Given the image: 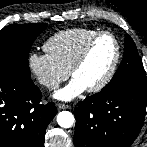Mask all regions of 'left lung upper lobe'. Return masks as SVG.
Segmentation results:
<instances>
[{"mask_svg":"<svg viewBox=\"0 0 147 147\" xmlns=\"http://www.w3.org/2000/svg\"><path fill=\"white\" fill-rule=\"evenodd\" d=\"M125 86L147 88L146 73L132 38L125 36L123 60L111 81L101 90L109 91Z\"/></svg>","mask_w":147,"mask_h":147,"instance_id":"left-lung-upper-lobe-1","label":"left lung upper lobe"}]
</instances>
